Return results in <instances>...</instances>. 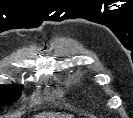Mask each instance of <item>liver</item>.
Here are the masks:
<instances>
[{"label":"liver","instance_id":"6515ba94","mask_svg":"<svg viewBox=\"0 0 133 118\" xmlns=\"http://www.w3.org/2000/svg\"><path fill=\"white\" fill-rule=\"evenodd\" d=\"M45 116H48V115H46V114H39L36 118H45ZM66 117L70 118L71 116L67 115Z\"/></svg>","mask_w":133,"mask_h":118}]
</instances>
